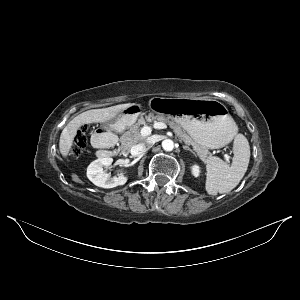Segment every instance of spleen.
Here are the masks:
<instances>
[{
	"label": "spleen",
	"instance_id": "3e777b00",
	"mask_svg": "<svg viewBox=\"0 0 300 300\" xmlns=\"http://www.w3.org/2000/svg\"><path fill=\"white\" fill-rule=\"evenodd\" d=\"M233 153L231 166L218 157H212L207 162L205 188L209 195L230 192L245 175L250 160V146L244 135L235 136Z\"/></svg>",
	"mask_w": 300,
	"mask_h": 300
}]
</instances>
